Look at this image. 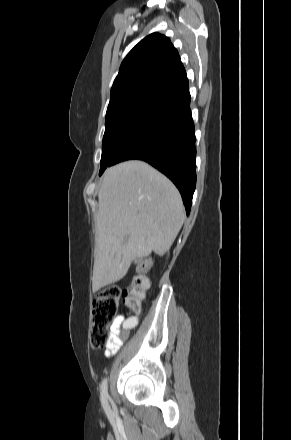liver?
<instances>
[{"mask_svg":"<svg viewBox=\"0 0 291 440\" xmlns=\"http://www.w3.org/2000/svg\"><path fill=\"white\" fill-rule=\"evenodd\" d=\"M184 220L179 191L148 163L108 168L98 192L93 291L122 279L135 258L164 255Z\"/></svg>","mask_w":291,"mask_h":440,"instance_id":"1","label":"liver"}]
</instances>
